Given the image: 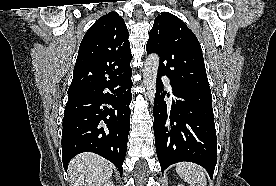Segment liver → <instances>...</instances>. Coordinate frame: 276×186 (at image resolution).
<instances>
[{"label": "liver", "instance_id": "obj_1", "mask_svg": "<svg viewBox=\"0 0 276 186\" xmlns=\"http://www.w3.org/2000/svg\"><path fill=\"white\" fill-rule=\"evenodd\" d=\"M71 186H103L113 173V165L94 153L77 155L68 167Z\"/></svg>", "mask_w": 276, "mask_h": 186}]
</instances>
